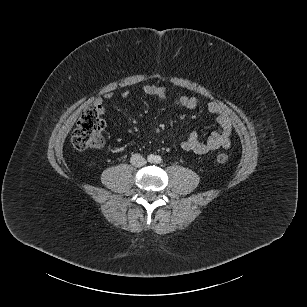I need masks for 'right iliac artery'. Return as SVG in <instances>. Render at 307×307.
Here are the masks:
<instances>
[{"instance_id":"right-iliac-artery-1","label":"right iliac artery","mask_w":307,"mask_h":307,"mask_svg":"<svg viewBox=\"0 0 307 307\" xmlns=\"http://www.w3.org/2000/svg\"><path fill=\"white\" fill-rule=\"evenodd\" d=\"M147 159L149 162H153L155 160V157L153 155H149Z\"/></svg>"}]
</instances>
